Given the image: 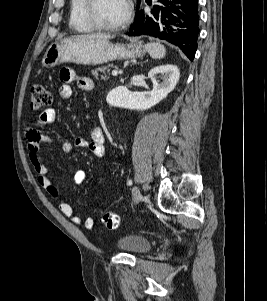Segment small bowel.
<instances>
[{"mask_svg": "<svg viewBox=\"0 0 267 301\" xmlns=\"http://www.w3.org/2000/svg\"><path fill=\"white\" fill-rule=\"evenodd\" d=\"M60 80L62 85L59 87V96L62 100L70 99L72 96L71 83H76L78 88L85 92H90L94 89L93 81L85 76L77 75L73 70L65 68L60 72ZM55 110L48 108L44 110L37 119L36 127H29L26 130L27 147L29 150V158L33 166L34 171L37 174V180L39 185L46 190L52 197H58L59 190L52 183L48 177V170L44 164L41 154L40 147L44 143H52L53 140L44 135L40 130V127L51 125L55 121ZM105 134L102 128L95 127L90 132V139L87 140L83 137H78L74 141H63L61 143V149L65 153L72 152L75 148H87L95 156L103 157L106 152L105 148ZM86 178V173L83 170H78L74 177L73 183L77 186L81 185ZM61 213L70 218L71 221L76 224H82L86 229H91L94 225V220L91 217H87L82 220L79 216L74 214L72 205L66 201H61L58 204Z\"/></svg>", "mask_w": 267, "mask_h": 301, "instance_id": "obj_1", "label": "small bowel"}]
</instances>
